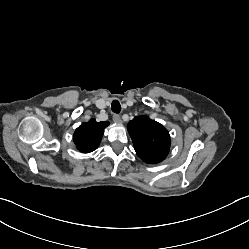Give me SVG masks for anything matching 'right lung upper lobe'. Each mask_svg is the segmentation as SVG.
Here are the masks:
<instances>
[{
    "label": "right lung upper lobe",
    "mask_w": 249,
    "mask_h": 249,
    "mask_svg": "<svg viewBox=\"0 0 249 249\" xmlns=\"http://www.w3.org/2000/svg\"><path fill=\"white\" fill-rule=\"evenodd\" d=\"M109 122H96L91 119L89 122L82 123L75 131L73 139L77 149L82 153H89L99 146L104 129Z\"/></svg>",
    "instance_id": "1"
}]
</instances>
